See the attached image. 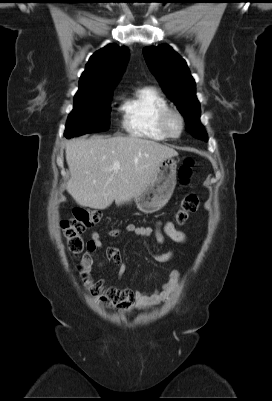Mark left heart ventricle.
Returning a JSON list of instances; mask_svg holds the SVG:
<instances>
[{
    "instance_id": "obj_1",
    "label": "left heart ventricle",
    "mask_w": 272,
    "mask_h": 401,
    "mask_svg": "<svg viewBox=\"0 0 272 401\" xmlns=\"http://www.w3.org/2000/svg\"><path fill=\"white\" fill-rule=\"evenodd\" d=\"M171 127H172V130H173L174 132H177V130H178V123H177L176 119H172V121H171Z\"/></svg>"
}]
</instances>
